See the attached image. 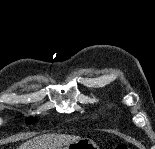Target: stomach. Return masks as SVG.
Masks as SVG:
<instances>
[{
  "mask_svg": "<svg viewBox=\"0 0 155 149\" xmlns=\"http://www.w3.org/2000/svg\"><path fill=\"white\" fill-rule=\"evenodd\" d=\"M61 149H98V147L92 140L80 139L76 142L64 145Z\"/></svg>",
  "mask_w": 155,
  "mask_h": 149,
  "instance_id": "stomach-1",
  "label": "stomach"
}]
</instances>
